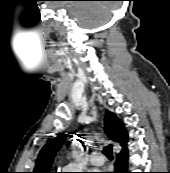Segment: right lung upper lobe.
I'll use <instances>...</instances> for the list:
<instances>
[{"label":"right lung upper lobe","mask_w":170,"mask_h":173,"mask_svg":"<svg viewBox=\"0 0 170 173\" xmlns=\"http://www.w3.org/2000/svg\"><path fill=\"white\" fill-rule=\"evenodd\" d=\"M104 128L105 133L112 141L119 142L123 148L126 147L128 135L123 126V123L117 118L114 113L108 110L106 111ZM66 137L67 135L60 134L42 148L38 155L33 173H50L49 169L52 165L53 158L56 152L65 142Z\"/></svg>","instance_id":"obj_1"}]
</instances>
